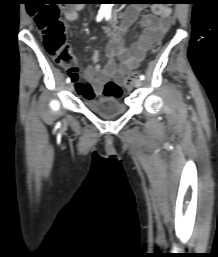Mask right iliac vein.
Segmentation results:
<instances>
[{"mask_svg":"<svg viewBox=\"0 0 218 257\" xmlns=\"http://www.w3.org/2000/svg\"><path fill=\"white\" fill-rule=\"evenodd\" d=\"M67 88H68V90H69L70 92H72V91L74 90V85H73V83H69L68 86H67Z\"/></svg>","mask_w":218,"mask_h":257,"instance_id":"63e3f726","label":"right iliac vein"}]
</instances>
